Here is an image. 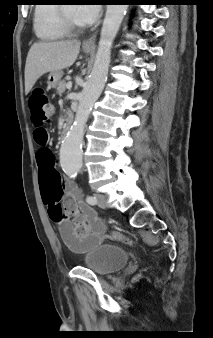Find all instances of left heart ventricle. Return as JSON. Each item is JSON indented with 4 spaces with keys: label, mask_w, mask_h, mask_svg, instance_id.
<instances>
[{
    "label": "left heart ventricle",
    "mask_w": 213,
    "mask_h": 338,
    "mask_svg": "<svg viewBox=\"0 0 213 338\" xmlns=\"http://www.w3.org/2000/svg\"><path fill=\"white\" fill-rule=\"evenodd\" d=\"M66 11L69 14V16L74 19L77 23L79 24H83L82 22H80L77 17H76V7L75 5H66Z\"/></svg>",
    "instance_id": "obj_1"
}]
</instances>
